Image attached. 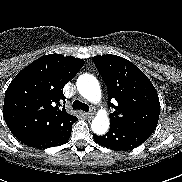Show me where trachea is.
Masks as SVG:
<instances>
[{
	"mask_svg": "<svg viewBox=\"0 0 182 182\" xmlns=\"http://www.w3.org/2000/svg\"><path fill=\"white\" fill-rule=\"evenodd\" d=\"M72 108L75 109V110H82V111H85V112L89 111V106L87 104H85V103H82L79 100H75L73 102Z\"/></svg>",
	"mask_w": 182,
	"mask_h": 182,
	"instance_id": "3493384b",
	"label": "trachea"
}]
</instances>
